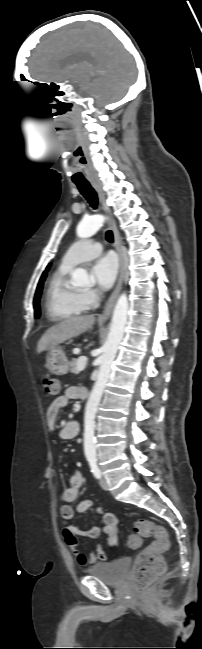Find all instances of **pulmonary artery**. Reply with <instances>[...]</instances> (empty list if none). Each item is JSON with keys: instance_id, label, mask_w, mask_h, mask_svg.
<instances>
[{"instance_id": "obj_1", "label": "pulmonary artery", "mask_w": 202, "mask_h": 649, "mask_svg": "<svg viewBox=\"0 0 202 649\" xmlns=\"http://www.w3.org/2000/svg\"><path fill=\"white\" fill-rule=\"evenodd\" d=\"M101 251L102 245L98 241L80 240L69 247L63 257V263L73 266L99 255Z\"/></svg>"}]
</instances>
